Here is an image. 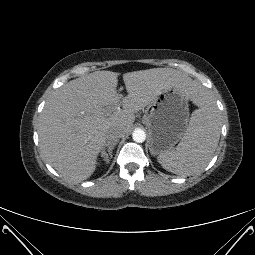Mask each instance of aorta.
<instances>
[{
  "label": "aorta",
  "instance_id": "aorta-1",
  "mask_svg": "<svg viewBox=\"0 0 255 255\" xmlns=\"http://www.w3.org/2000/svg\"><path fill=\"white\" fill-rule=\"evenodd\" d=\"M132 138L137 143H142L146 139V133L142 129H135L132 133Z\"/></svg>",
  "mask_w": 255,
  "mask_h": 255
}]
</instances>
